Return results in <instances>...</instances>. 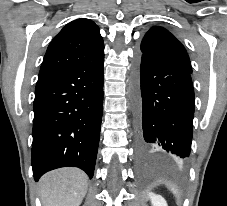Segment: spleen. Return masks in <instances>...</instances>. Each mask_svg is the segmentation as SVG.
Instances as JSON below:
<instances>
[{
  "instance_id": "3e777b00",
  "label": "spleen",
  "mask_w": 227,
  "mask_h": 206,
  "mask_svg": "<svg viewBox=\"0 0 227 206\" xmlns=\"http://www.w3.org/2000/svg\"><path fill=\"white\" fill-rule=\"evenodd\" d=\"M169 185L172 187V184H171V183H170ZM172 191H173V193H175V194L178 193V190H177L176 188H172Z\"/></svg>"
}]
</instances>
